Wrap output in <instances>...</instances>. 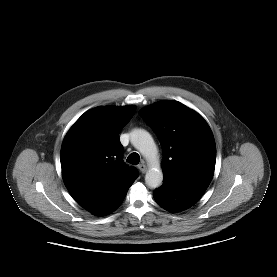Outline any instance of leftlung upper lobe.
Instances as JSON below:
<instances>
[{
    "instance_id": "1",
    "label": "left lung upper lobe",
    "mask_w": 277,
    "mask_h": 277,
    "mask_svg": "<svg viewBox=\"0 0 277 277\" xmlns=\"http://www.w3.org/2000/svg\"><path fill=\"white\" fill-rule=\"evenodd\" d=\"M140 116L162 145L163 184L205 192L216 162L215 141L206 121L176 101L155 103Z\"/></svg>"
}]
</instances>
